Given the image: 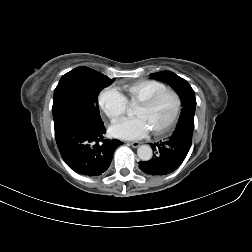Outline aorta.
I'll use <instances>...</instances> for the list:
<instances>
[{"label":"aorta","instance_id":"1","mask_svg":"<svg viewBox=\"0 0 252 252\" xmlns=\"http://www.w3.org/2000/svg\"><path fill=\"white\" fill-rule=\"evenodd\" d=\"M137 154L142 161H148L152 158L153 151L149 145H141L137 149Z\"/></svg>","mask_w":252,"mask_h":252}]
</instances>
